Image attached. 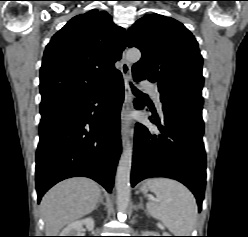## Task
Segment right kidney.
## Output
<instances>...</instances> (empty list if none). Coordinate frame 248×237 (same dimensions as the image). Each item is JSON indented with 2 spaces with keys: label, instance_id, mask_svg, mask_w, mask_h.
Masks as SVG:
<instances>
[{
  "label": "right kidney",
  "instance_id": "1",
  "mask_svg": "<svg viewBox=\"0 0 248 237\" xmlns=\"http://www.w3.org/2000/svg\"><path fill=\"white\" fill-rule=\"evenodd\" d=\"M84 225L86 226L87 230H92L94 227L93 218L88 217L82 220L72 222L66 228L63 229L59 236H81V231Z\"/></svg>",
  "mask_w": 248,
  "mask_h": 237
}]
</instances>
